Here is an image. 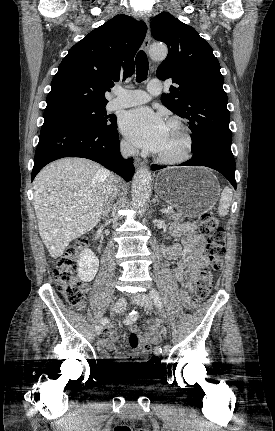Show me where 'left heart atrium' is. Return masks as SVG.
Here are the masks:
<instances>
[{
    "label": "left heart atrium",
    "instance_id": "1",
    "mask_svg": "<svg viewBox=\"0 0 275 431\" xmlns=\"http://www.w3.org/2000/svg\"><path fill=\"white\" fill-rule=\"evenodd\" d=\"M167 124L163 117L149 108L128 111L121 120V129L137 147L158 152L165 138Z\"/></svg>",
    "mask_w": 275,
    "mask_h": 431
}]
</instances>
